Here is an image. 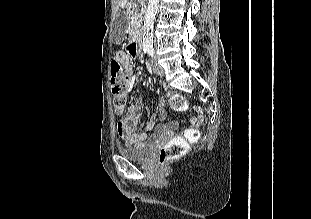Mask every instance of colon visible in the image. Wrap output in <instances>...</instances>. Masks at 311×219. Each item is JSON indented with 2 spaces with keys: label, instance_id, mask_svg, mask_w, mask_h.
<instances>
[{
  "label": "colon",
  "instance_id": "5ec220e1",
  "mask_svg": "<svg viewBox=\"0 0 311 219\" xmlns=\"http://www.w3.org/2000/svg\"><path fill=\"white\" fill-rule=\"evenodd\" d=\"M129 53L134 55L136 48H129ZM111 82L114 109L117 114H121L126 106L127 95L123 67L117 60H113L111 63ZM169 101L175 111H184L188 108L186 99L180 94H172ZM199 136L198 128L192 127L186 129L181 135L172 138L159 150L158 160L160 164L165 165L169 161L184 155L189 146L199 140Z\"/></svg>",
  "mask_w": 311,
  "mask_h": 219
}]
</instances>
